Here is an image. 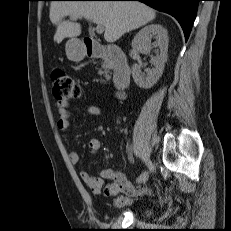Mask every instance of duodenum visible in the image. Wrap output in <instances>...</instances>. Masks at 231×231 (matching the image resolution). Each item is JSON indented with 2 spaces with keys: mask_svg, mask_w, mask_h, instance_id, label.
Instances as JSON below:
<instances>
[{
  "mask_svg": "<svg viewBox=\"0 0 231 231\" xmlns=\"http://www.w3.org/2000/svg\"><path fill=\"white\" fill-rule=\"evenodd\" d=\"M83 49L87 57H103L110 62L113 70V82L119 91L129 85L131 70L127 58L120 47L113 44L103 46L96 40L84 38Z\"/></svg>",
  "mask_w": 231,
  "mask_h": 231,
  "instance_id": "duodenum-1",
  "label": "duodenum"
}]
</instances>
